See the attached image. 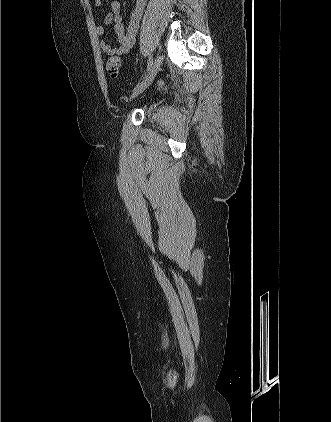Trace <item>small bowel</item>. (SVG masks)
<instances>
[{"mask_svg":"<svg viewBox=\"0 0 331 422\" xmlns=\"http://www.w3.org/2000/svg\"><path fill=\"white\" fill-rule=\"evenodd\" d=\"M147 0H136L135 7L130 15V21L127 27L124 26L121 16V3L118 0L111 2L110 10L104 18L103 24L95 26V32L98 36H103L106 27L112 22L114 23V31L119 42L118 46H113L106 40L100 42V48L105 55L112 57H119L127 54L135 44V39L139 27V22L142 17ZM94 5L100 7L102 0H94Z\"/></svg>","mask_w":331,"mask_h":422,"instance_id":"c3829d8e","label":"small bowel"}]
</instances>
